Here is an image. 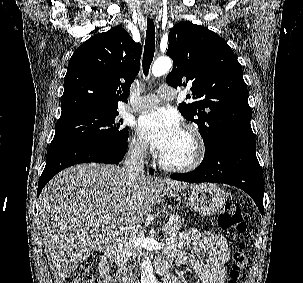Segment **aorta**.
<instances>
[{"instance_id": "762f6f07", "label": "aorta", "mask_w": 303, "mask_h": 283, "mask_svg": "<svg viewBox=\"0 0 303 283\" xmlns=\"http://www.w3.org/2000/svg\"><path fill=\"white\" fill-rule=\"evenodd\" d=\"M172 67V61L169 57L158 58L152 66V74L155 77H160L166 74ZM141 283H157L154 275L151 260L145 258L140 264Z\"/></svg>"}]
</instances>
